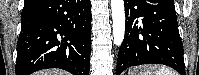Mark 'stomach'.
<instances>
[{"instance_id": "obj_1", "label": "stomach", "mask_w": 199, "mask_h": 75, "mask_svg": "<svg viewBox=\"0 0 199 75\" xmlns=\"http://www.w3.org/2000/svg\"><path fill=\"white\" fill-rule=\"evenodd\" d=\"M144 68H138V69H135V70H130L129 71V75H140L141 71L143 70Z\"/></svg>"}]
</instances>
